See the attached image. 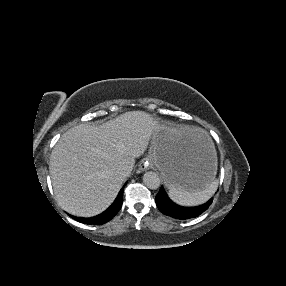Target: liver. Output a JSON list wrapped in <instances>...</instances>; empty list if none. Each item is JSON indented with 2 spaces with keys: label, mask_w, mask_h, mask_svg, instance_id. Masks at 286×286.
Returning a JSON list of instances; mask_svg holds the SVG:
<instances>
[{
  "label": "liver",
  "mask_w": 286,
  "mask_h": 286,
  "mask_svg": "<svg viewBox=\"0 0 286 286\" xmlns=\"http://www.w3.org/2000/svg\"><path fill=\"white\" fill-rule=\"evenodd\" d=\"M164 126V125H162ZM143 111H130L100 126L80 124L65 132L50 156V177L58 204L68 213L92 217L116 198L126 177L119 165L132 171L162 128ZM171 145L207 135L190 126H166Z\"/></svg>",
  "instance_id": "obj_1"
}]
</instances>
